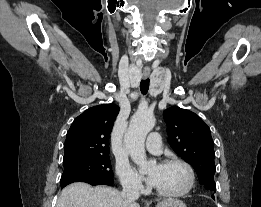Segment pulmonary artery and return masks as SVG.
Segmentation results:
<instances>
[{
    "instance_id": "pulmonary-artery-1",
    "label": "pulmonary artery",
    "mask_w": 261,
    "mask_h": 207,
    "mask_svg": "<svg viewBox=\"0 0 261 207\" xmlns=\"http://www.w3.org/2000/svg\"><path fill=\"white\" fill-rule=\"evenodd\" d=\"M146 149L152 154H160L162 152L161 148V138L156 132L149 134L146 141Z\"/></svg>"
}]
</instances>
